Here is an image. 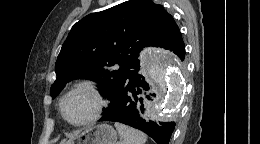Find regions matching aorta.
<instances>
[{
    "label": "aorta",
    "instance_id": "762f6f07",
    "mask_svg": "<svg viewBox=\"0 0 260 144\" xmlns=\"http://www.w3.org/2000/svg\"><path fill=\"white\" fill-rule=\"evenodd\" d=\"M148 76L159 90L156 118H166L178 107L183 83L176 58L167 51H154L144 61Z\"/></svg>",
    "mask_w": 260,
    "mask_h": 144
}]
</instances>
